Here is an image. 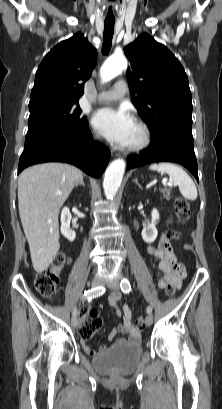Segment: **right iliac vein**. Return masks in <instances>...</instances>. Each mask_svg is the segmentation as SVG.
<instances>
[{"label":"right iliac vein","mask_w":222,"mask_h":409,"mask_svg":"<svg viewBox=\"0 0 222 409\" xmlns=\"http://www.w3.org/2000/svg\"><path fill=\"white\" fill-rule=\"evenodd\" d=\"M104 283H105V279H104L103 277H95V278L92 280V286H93V287H99V286L103 285ZM71 324H72L74 327H77V326H78V320H77L76 316H73V317H72V319H71Z\"/></svg>","instance_id":"right-iliac-vein-1"}]
</instances>
